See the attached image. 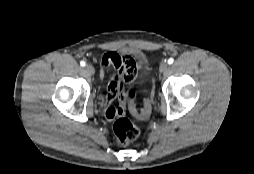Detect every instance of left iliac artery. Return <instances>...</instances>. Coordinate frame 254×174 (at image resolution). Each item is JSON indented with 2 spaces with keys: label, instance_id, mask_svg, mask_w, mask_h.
<instances>
[{
  "label": "left iliac artery",
  "instance_id": "44dca946",
  "mask_svg": "<svg viewBox=\"0 0 254 174\" xmlns=\"http://www.w3.org/2000/svg\"><path fill=\"white\" fill-rule=\"evenodd\" d=\"M174 62V59L173 58H170L169 60H168V64H172Z\"/></svg>",
  "mask_w": 254,
  "mask_h": 174
}]
</instances>
